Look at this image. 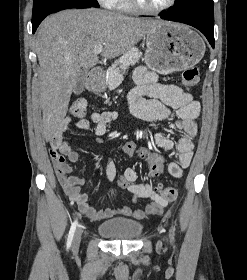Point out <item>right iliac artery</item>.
<instances>
[{
	"mask_svg": "<svg viewBox=\"0 0 247 280\" xmlns=\"http://www.w3.org/2000/svg\"><path fill=\"white\" fill-rule=\"evenodd\" d=\"M77 224H78V222L76 220L71 225V228H70V231H69V234H68V238H67V249H69L70 246H71V243H72V240H73V236H74Z\"/></svg>",
	"mask_w": 247,
	"mask_h": 280,
	"instance_id": "82829eb1",
	"label": "right iliac artery"
}]
</instances>
